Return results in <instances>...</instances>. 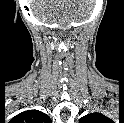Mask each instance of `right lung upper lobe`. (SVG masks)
<instances>
[{
	"label": "right lung upper lobe",
	"instance_id": "right-lung-upper-lobe-1",
	"mask_svg": "<svg viewBox=\"0 0 124 123\" xmlns=\"http://www.w3.org/2000/svg\"><path fill=\"white\" fill-rule=\"evenodd\" d=\"M20 123H51L49 116L39 110L24 111L14 117Z\"/></svg>",
	"mask_w": 124,
	"mask_h": 123
}]
</instances>
